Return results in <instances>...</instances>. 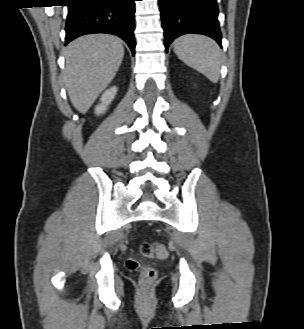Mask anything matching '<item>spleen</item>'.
I'll return each mask as SVG.
<instances>
[{
  "label": "spleen",
  "mask_w": 304,
  "mask_h": 329,
  "mask_svg": "<svg viewBox=\"0 0 304 329\" xmlns=\"http://www.w3.org/2000/svg\"><path fill=\"white\" fill-rule=\"evenodd\" d=\"M174 52L186 65L216 83L219 79L221 51L217 43L203 35H183L175 40Z\"/></svg>",
  "instance_id": "1"
}]
</instances>
